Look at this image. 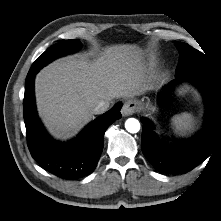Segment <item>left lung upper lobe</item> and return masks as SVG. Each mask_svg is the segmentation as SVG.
<instances>
[{
    "mask_svg": "<svg viewBox=\"0 0 221 221\" xmlns=\"http://www.w3.org/2000/svg\"><path fill=\"white\" fill-rule=\"evenodd\" d=\"M175 46L180 53L179 64L176 68L177 76L201 74L211 78L217 85H220V80L217 74L212 70L203 53L183 42H175Z\"/></svg>",
    "mask_w": 221,
    "mask_h": 221,
    "instance_id": "5c2ea615",
    "label": "left lung upper lobe"
}]
</instances>
